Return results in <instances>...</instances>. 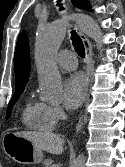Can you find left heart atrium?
<instances>
[{"label":"left heart atrium","instance_id":"1","mask_svg":"<svg viewBox=\"0 0 125 167\" xmlns=\"http://www.w3.org/2000/svg\"><path fill=\"white\" fill-rule=\"evenodd\" d=\"M87 91V79L81 73L69 75L63 84V104L74 110L83 102Z\"/></svg>","mask_w":125,"mask_h":167}]
</instances>
